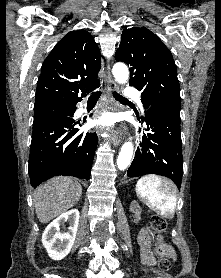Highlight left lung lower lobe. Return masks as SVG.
I'll return each instance as SVG.
<instances>
[{
    "label": "left lung lower lobe",
    "instance_id": "obj_1",
    "mask_svg": "<svg viewBox=\"0 0 221 278\" xmlns=\"http://www.w3.org/2000/svg\"><path fill=\"white\" fill-rule=\"evenodd\" d=\"M141 120L146 123L144 130L148 132L140 135V148L127 176L158 174L172 179L180 189L183 174L180 111L152 106L145 110Z\"/></svg>",
    "mask_w": 221,
    "mask_h": 278
}]
</instances>
